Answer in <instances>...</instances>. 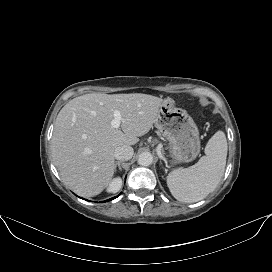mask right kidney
<instances>
[{
	"instance_id": "ca27d5eb",
	"label": "right kidney",
	"mask_w": 272,
	"mask_h": 272,
	"mask_svg": "<svg viewBox=\"0 0 272 272\" xmlns=\"http://www.w3.org/2000/svg\"><path fill=\"white\" fill-rule=\"evenodd\" d=\"M121 183H122V181H121L120 178L113 179L110 182V184H109V186L107 188V192H109V193H115V192L119 191L120 188H121Z\"/></svg>"
}]
</instances>
